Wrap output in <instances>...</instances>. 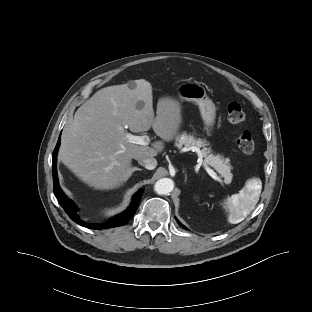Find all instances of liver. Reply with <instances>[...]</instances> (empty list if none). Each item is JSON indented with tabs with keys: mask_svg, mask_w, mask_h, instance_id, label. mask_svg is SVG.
Wrapping results in <instances>:
<instances>
[{
	"mask_svg": "<svg viewBox=\"0 0 312 312\" xmlns=\"http://www.w3.org/2000/svg\"><path fill=\"white\" fill-rule=\"evenodd\" d=\"M97 91L81 105L64 128L59 157L84 183L96 189H110L132 174V159L152 158L163 149L162 141L152 147L129 143L125 128L133 133L153 128L157 136L171 141L182 123L178 101L162 97L154 116L151 84L136 80ZM141 102V108L137 104Z\"/></svg>",
	"mask_w": 312,
	"mask_h": 312,
	"instance_id": "obj_1",
	"label": "liver"
}]
</instances>
